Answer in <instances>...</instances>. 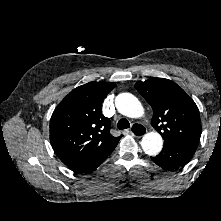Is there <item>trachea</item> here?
<instances>
[{
    "instance_id": "3493384b",
    "label": "trachea",
    "mask_w": 221,
    "mask_h": 221,
    "mask_svg": "<svg viewBox=\"0 0 221 221\" xmlns=\"http://www.w3.org/2000/svg\"><path fill=\"white\" fill-rule=\"evenodd\" d=\"M117 127L119 130L127 129L130 127V123L127 119L122 118L118 121Z\"/></svg>"
}]
</instances>
